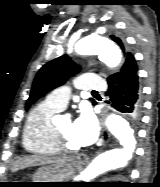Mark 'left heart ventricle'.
Wrapping results in <instances>:
<instances>
[{
    "label": "left heart ventricle",
    "instance_id": "b2bd125f",
    "mask_svg": "<svg viewBox=\"0 0 160 187\" xmlns=\"http://www.w3.org/2000/svg\"><path fill=\"white\" fill-rule=\"evenodd\" d=\"M58 128L64 135L66 142L71 148H80V145L75 141L72 131V122L69 119L61 120L57 123Z\"/></svg>",
    "mask_w": 160,
    "mask_h": 187
}]
</instances>
